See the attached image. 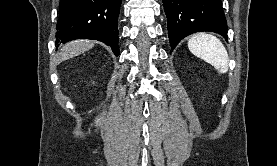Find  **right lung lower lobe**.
Here are the masks:
<instances>
[{
    "mask_svg": "<svg viewBox=\"0 0 277 166\" xmlns=\"http://www.w3.org/2000/svg\"><path fill=\"white\" fill-rule=\"evenodd\" d=\"M120 4L121 0H60L56 44L93 39L109 45L118 56Z\"/></svg>",
    "mask_w": 277,
    "mask_h": 166,
    "instance_id": "right-lung-lower-lobe-1",
    "label": "right lung lower lobe"
}]
</instances>
